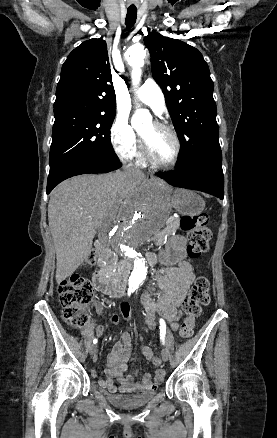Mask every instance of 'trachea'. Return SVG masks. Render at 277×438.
<instances>
[{"label": "trachea", "instance_id": "1", "mask_svg": "<svg viewBox=\"0 0 277 438\" xmlns=\"http://www.w3.org/2000/svg\"><path fill=\"white\" fill-rule=\"evenodd\" d=\"M136 18H137V8L129 7L127 9L126 21H125L127 30H130L134 26L136 22Z\"/></svg>", "mask_w": 277, "mask_h": 438}]
</instances>
